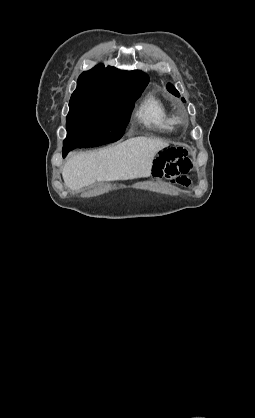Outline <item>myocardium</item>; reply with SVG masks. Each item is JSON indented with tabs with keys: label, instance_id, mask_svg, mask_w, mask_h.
Listing matches in <instances>:
<instances>
[{
	"label": "myocardium",
	"instance_id": "obj_1",
	"mask_svg": "<svg viewBox=\"0 0 255 418\" xmlns=\"http://www.w3.org/2000/svg\"><path fill=\"white\" fill-rule=\"evenodd\" d=\"M174 124H182L184 117L181 114H176L173 116Z\"/></svg>",
	"mask_w": 255,
	"mask_h": 418
}]
</instances>
